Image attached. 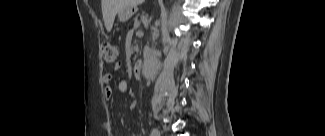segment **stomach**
I'll return each instance as SVG.
<instances>
[{"label": "stomach", "instance_id": "obj_1", "mask_svg": "<svg viewBox=\"0 0 325 136\" xmlns=\"http://www.w3.org/2000/svg\"><path fill=\"white\" fill-rule=\"evenodd\" d=\"M134 14H135V9L131 6L130 8H125L122 12H120L118 14V17L120 21H126Z\"/></svg>", "mask_w": 325, "mask_h": 136}]
</instances>
